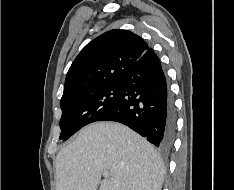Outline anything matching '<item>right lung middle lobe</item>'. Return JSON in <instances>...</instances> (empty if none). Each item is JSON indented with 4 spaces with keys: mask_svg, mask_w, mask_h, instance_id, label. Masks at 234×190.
<instances>
[{
    "mask_svg": "<svg viewBox=\"0 0 234 190\" xmlns=\"http://www.w3.org/2000/svg\"><path fill=\"white\" fill-rule=\"evenodd\" d=\"M120 88L119 83H114L61 101L60 139L67 140L83 126L98 121L114 106Z\"/></svg>",
    "mask_w": 234,
    "mask_h": 190,
    "instance_id": "dd1d6c3e",
    "label": "right lung middle lobe"
}]
</instances>
